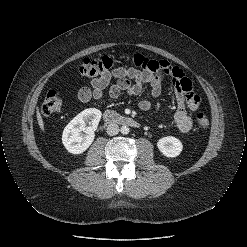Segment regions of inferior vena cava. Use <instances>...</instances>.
<instances>
[{
  "instance_id": "obj_1",
  "label": "inferior vena cava",
  "mask_w": 247,
  "mask_h": 247,
  "mask_svg": "<svg viewBox=\"0 0 247 247\" xmlns=\"http://www.w3.org/2000/svg\"><path fill=\"white\" fill-rule=\"evenodd\" d=\"M119 133V126L116 123H111L107 126V134L110 136L117 135Z\"/></svg>"
}]
</instances>
